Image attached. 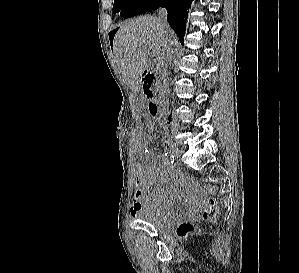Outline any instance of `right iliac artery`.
Instances as JSON below:
<instances>
[{
    "label": "right iliac artery",
    "mask_w": 299,
    "mask_h": 273,
    "mask_svg": "<svg viewBox=\"0 0 299 273\" xmlns=\"http://www.w3.org/2000/svg\"><path fill=\"white\" fill-rule=\"evenodd\" d=\"M164 158L168 163L173 164L174 163V156L168 152H165Z\"/></svg>",
    "instance_id": "82829eb1"
}]
</instances>
